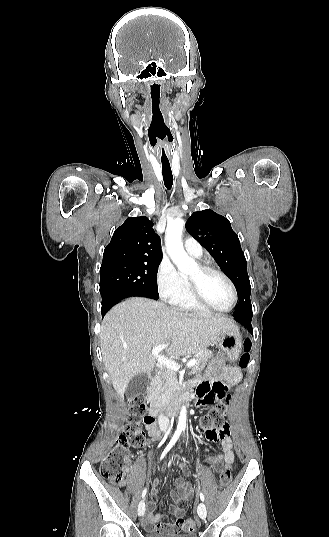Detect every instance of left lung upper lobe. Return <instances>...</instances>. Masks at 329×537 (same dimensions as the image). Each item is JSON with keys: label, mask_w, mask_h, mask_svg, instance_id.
Segmentation results:
<instances>
[{"label": "left lung upper lobe", "mask_w": 329, "mask_h": 537, "mask_svg": "<svg viewBox=\"0 0 329 537\" xmlns=\"http://www.w3.org/2000/svg\"><path fill=\"white\" fill-rule=\"evenodd\" d=\"M191 235L206 248L232 280L238 294L234 316L252 313L247 262L229 220L210 209L194 212L186 223Z\"/></svg>", "instance_id": "5c2ea615"}]
</instances>
